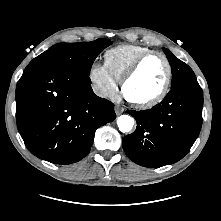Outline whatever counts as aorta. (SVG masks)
Segmentation results:
<instances>
[{"label":"aorta","instance_id":"obj_1","mask_svg":"<svg viewBox=\"0 0 221 221\" xmlns=\"http://www.w3.org/2000/svg\"><path fill=\"white\" fill-rule=\"evenodd\" d=\"M117 125L121 132L128 133L134 126V119L129 115H121L117 119Z\"/></svg>","mask_w":221,"mask_h":221}]
</instances>
